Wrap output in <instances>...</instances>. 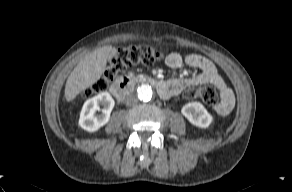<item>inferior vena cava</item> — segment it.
I'll return each instance as SVG.
<instances>
[{
	"instance_id": "inferior-vena-cava-1",
	"label": "inferior vena cava",
	"mask_w": 292,
	"mask_h": 192,
	"mask_svg": "<svg viewBox=\"0 0 292 192\" xmlns=\"http://www.w3.org/2000/svg\"><path fill=\"white\" fill-rule=\"evenodd\" d=\"M137 102H138V98L135 95H129L125 100V103L128 106L134 105Z\"/></svg>"
}]
</instances>
